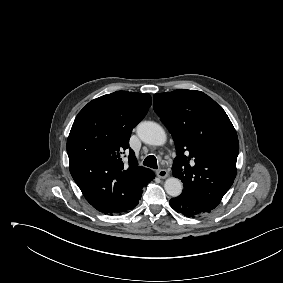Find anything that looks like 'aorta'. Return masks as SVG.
Here are the masks:
<instances>
[{
	"instance_id": "obj_1",
	"label": "aorta",
	"mask_w": 283,
	"mask_h": 283,
	"mask_svg": "<svg viewBox=\"0 0 283 283\" xmlns=\"http://www.w3.org/2000/svg\"><path fill=\"white\" fill-rule=\"evenodd\" d=\"M137 134L144 143L149 145L161 146L166 142L164 129L152 121L141 122L137 126ZM164 188L168 195L177 197L182 193L183 185L178 178L170 177L166 179Z\"/></svg>"
}]
</instances>
